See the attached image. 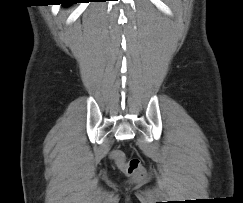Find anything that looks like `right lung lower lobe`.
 I'll return each instance as SVG.
<instances>
[{
    "instance_id": "right-lung-lower-lobe-1",
    "label": "right lung lower lobe",
    "mask_w": 243,
    "mask_h": 203,
    "mask_svg": "<svg viewBox=\"0 0 243 203\" xmlns=\"http://www.w3.org/2000/svg\"><path fill=\"white\" fill-rule=\"evenodd\" d=\"M73 3H77V1L71 0L70 2H67V4H73Z\"/></svg>"
}]
</instances>
